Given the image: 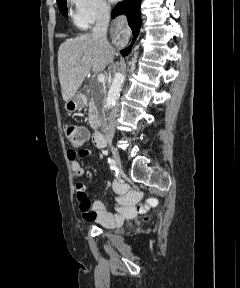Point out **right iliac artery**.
Returning <instances> with one entry per match:
<instances>
[{"label": "right iliac artery", "mask_w": 240, "mask_h": 288, "mask_svg": "<svg viewBox=\"0 0 240 288\" xmlns=\"http://www.w3.org/2000/svg\"><path fill=\"white\" fill-rule=\"evenodd\" d=\"M108 163L111 169H115V161L111 158H108Z\"/></svg>", "instance_id": "obj_1"}]
</instances>
